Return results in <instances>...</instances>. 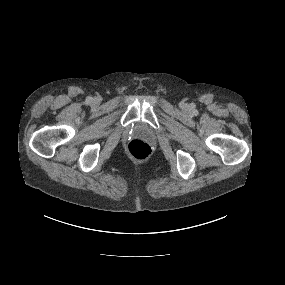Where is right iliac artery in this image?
Segmentation results:
<instances>
[{"label": "right iliac artery", "instance_id": "82829eb1", "mask_svg": "<svg viewBox=\"0 0 285 285\" xmlns=\"http://www.w3.org/2000/svg\"><path fill=\"white\" fill-rule=\"evenodd\" d=\"M91 101H92V97H88V98L86 99V103H87V104L91 103Z\"/></svg>", "mask_w": 285, "mask_h": 285}]
</instances>
